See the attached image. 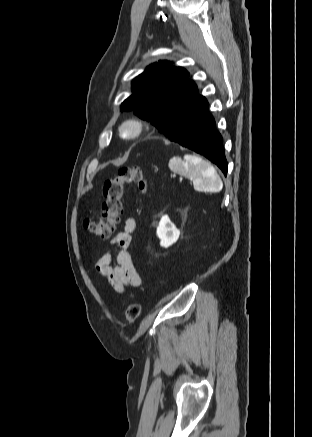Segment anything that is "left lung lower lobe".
<instances>
[{
	"label": "left lung lower lobe",
	"mask_w": 312,
	"mask_h": 437,
	"mask_svg": "<svg viewBox=\"0 0 312 437\" xmlns=\"http://www.w3.org/2000/svg\"><path fill=\"white\" fill-rule=\"evenodd\" d=\"M208 102L173 142L199 153L215 163L227 174L228 163L224 155L222 137L215 129V120L209 113Z\"/></svg>",
	"instance_id": "0a47b994"
}]
</instances>
